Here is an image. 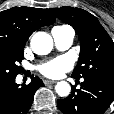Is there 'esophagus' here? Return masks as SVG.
Masks as SVG:
<instances>
[{"mask_svg":"<svg viewBox=\"0 0 114 114\" xmlns=\"http://www.w3.org/2000/svg\"><path fill=\"white\" fill-rule=\"evenodd\" d=\"M43 82L45 85H49V84H55L57 81L45 79L43 80Z\"/></svg>","mask_w":114,"mask_h":114,"instance_id":"esophagus-1","label":"esophagus"}]
</instances>
